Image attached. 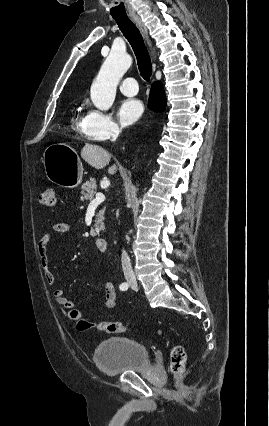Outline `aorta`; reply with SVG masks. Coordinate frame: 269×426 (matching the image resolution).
Returning <instances> with one entry per match:
<instances>
[{
	"label": "aorta",
	"instance_id": "obj_1",
	"mask_svg": "<svg viewBox=\"0 0 269 426\" xmlns=\"http://www.w3.org/2000/svg\"><path fill=\"white\" fill-rule=\"evenodd\" d=\"M132 64V58L124 51L112 50L102 65L91 87V100L100 110L113 105L117 85Z\"/></svg>",
	"mask_w": 269,
	"mask_h": 426
}]
</instances>
